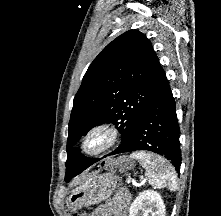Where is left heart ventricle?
I'll return each instance as SVG.
<instances>
[{
    "label": "left heart ventricle",
    "instance_id": "obj_1",
    "mask_svg": "<svg viewBox=\"0 0 221 216\" xmlns=\"http://www.w3.org/2000/svg\"><path fill=\"white\" fill-rule=\"evenodd\" d=\"M98 143H99L98 139L93 140V141L89 144V148H90V149L95 148L96 146H98Z\"/></svg>",
    "mask_w": 221,
    "mask_h": 216
}]
</instances>
